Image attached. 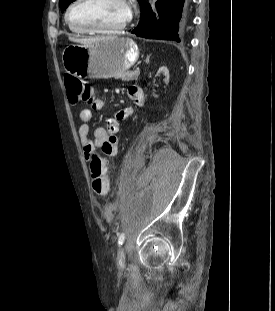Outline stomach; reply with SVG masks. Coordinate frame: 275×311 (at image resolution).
I'll return each mask as SVG.
<instances>
[{
  "label": "stomach",
  "instance_id": "obj_1",
  "mask_svg": "<svg viewBox=\"0 0 275 311\" xmlns=\"http://www.w3.org/2000/svg\"><path fill=\"white\" fill-rule=\"evenodd\" d=\"M139 58L136 43L129 38L103 39L94 43L70 44L62 53L65 71L77 78L118 77Z\"/></svg>",
  "mask_w": 275,
  "mask_h": 311
}]
</instances>
